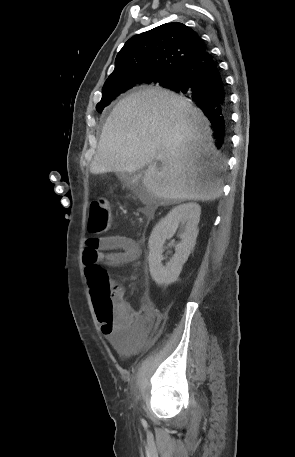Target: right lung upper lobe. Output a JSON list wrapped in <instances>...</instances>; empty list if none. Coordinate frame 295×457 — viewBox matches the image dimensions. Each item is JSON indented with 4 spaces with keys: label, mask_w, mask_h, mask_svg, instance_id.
Instances as JSON below:
<instances>
[{
    "label": "right lung upper lobe",
    "mask_w": 295,
    "mask_h": 457,
    "mask_svg": "<svg viewBox=\"0 0 295 457\" xmlns=\"http://www.w3.org/2000/svg\"><path fill=\"white\" fill-rule=\"evenodd\" d=\"M207 47L197 33L186 25L172 22L160 25L129 39L115 59V69L103 90L129 84H159L174 77L189 60ZM126 92V91H125Z\"/></svg>",
    "instance_id": "cb5924a9"
}]
</instances>
